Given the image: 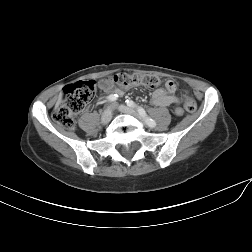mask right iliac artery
Instances as JSON below:
<instances>
[{
  "label": "right iliac artery",
  "mask_w": 252,
  "mask_h": 252,
  "mask_svg": "<svg viewBox=\"0 0 252 252\" xmlns=\"http://www.w3.org/2000/svg\"><path fill=\"white\" fill-rule=\"evenodd\" d=\"M118 98V95L114 94V95H110L108 96L107 100L110 102L116 101Z\"/></svg>",
  "instance_id": "right-iliac-artery-1"
}]
</instances>
